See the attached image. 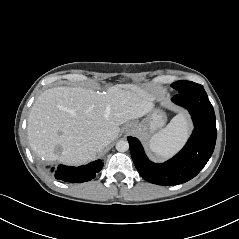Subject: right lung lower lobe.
<instances>
[{
    "label": "right lung lower lobe",
    "instance_id": "right-lung-lower-lobe-1",
    "mask_svg": "<svg viewBox=\"0 0 239 239\" xmlns=\"http://www.w3.org/2000/svg\"><path fill=\"white\" fill-rule=\"evenodd\" d=\"M102 167V160H97L79 167L59 165L55 172V178L71 183H82L93 179Z\"/></svg>",
    "mask_w": 239,
    "mask_h": 239
}]
</instances>
